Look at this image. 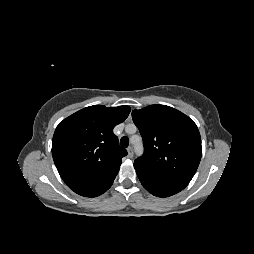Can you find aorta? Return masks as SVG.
I'll use <instances>...</instances> for the list:
<instances>
[{
    "label": "aorta",
    "mask_w": 254,
    "mask_h": 254,
    "mask_svg": "<svg viewBox=\"0 0 254 254\" xmlns=\"http://www.w3.org/2000/svg\"><path fill=\"white\" fill-rule=\"evenodd\" d=\"M137 151H138V153L141 152V146H140V144H138Z\"/></svg>",
    "instance_id": "aorta-1"
}]
</instances>
